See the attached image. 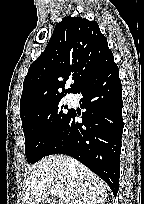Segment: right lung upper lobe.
Segmentation results:
<instances>
[{
	"label": "right lung upper lobe",
	"mask_w": 144,
	"mask_h": 204,
	"mask_svg": "<svg viewBox=\"0 0 144 204\" xmlns=\"http://www.w3.org/2000/svg\"><path fill=\"white\" fill-rule=\"evenodd\" d=\"M112 60V51L96 22L64 17L56 25L44 52L28 70L20 99V116L64 93H76ZM70 75L74 83L65 90Z\"/></svg>",
	"instance_id": "1"
}]
</instances>
